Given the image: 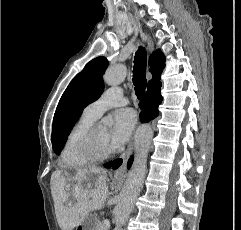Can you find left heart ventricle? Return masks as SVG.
Instances as JSON below:
<instances>
[{
	"instance_id": "left-heart-ventricle-1",
	"label": "left heart ventricle",
	"mask_w": 241,
	"mask_h": 230,
	"mask_svg": "<svg viewBox=\"0 0 241 230\" xmlns=\"http://www.w3.org/2000/svg\"><path fill=\"white\" fill-rule=\"evenodd\" d=\"M108 134H109V131L106 127H103L100 125L97 126L96 133H95V139H96V143L99 146V148H101V149L110 148L109 144H108Z\"/></svg>"
}]
</instances>
